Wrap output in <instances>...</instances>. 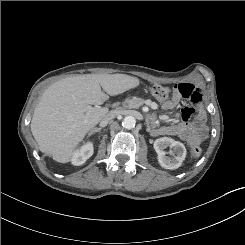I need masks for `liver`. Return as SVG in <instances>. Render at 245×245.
Wrapping results in <instances>:
<instances>
[{
  "instance_id": "6515ba94",
  "label": "liver",
  "mask_w": 245,
  "mask_h": 245,
  "mask_svg": "<svg viewBox=\"0 0 245 245\" xmlns=\"http://www.w3.org/2000/svg\"><path fill=\"white\" fill-rule=\"evenodd\" d=\"M139 84L137 77L126 74H86L50 85L35 107L30 125L40 150L58 162L71 161L88 131L108 113L107 108L92 105H101L109 95L122 94Z\"/></svg>"
}]
</instances>
